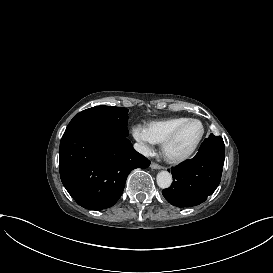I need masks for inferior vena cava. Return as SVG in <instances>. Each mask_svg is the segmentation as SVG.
Segmentation results:
<instances>
[{"label": "inferior vena cava", "instance_id": "1", "mask_svg": "<svg viewBox=\"0 0 273 273\" xmlns=\"http://www.w3.org/2000/svg\"><path fill=\"white\" fill-rule=\"evenodd\" d=\"M133 147L137 152H139L145 156H149V150L144 145H142L140 143H134Z\"/></svg>", "mask_w": 273, "mask_h": 273}]
</instances>
